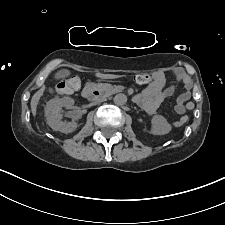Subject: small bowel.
<instances>
[{"label": "small bowel", "instance_id": "small-bowel-1", "mask_svg": "<svg viewBox=\"0 0 225 225\" xmlns=\"http://www.w3.org/2000/svg\"><path fill=\"white\" fill-rule=\"evenodd\" d=\"M174 75L175 80L167 82L164 73H157L154 83L145 88L141 94L136 97L138 105H140L148 115H153L164 99L174 94L175 86L178 83H181L184 88L177 97L175 111L180 115L184 114V105L190 97L193 83L183 70H175ZM182 118L187 119L186 116H182L180 119ZM180 119L173 123L175 127L179 126Z\"/></svg>", "mask_w": 225, "mask_h": 225}]
</instances>
